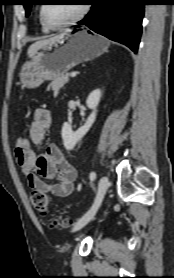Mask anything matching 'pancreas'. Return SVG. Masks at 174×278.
I'll return each instance as SVG.
<instances>
[{
    "mask_svg": "<svg viewBox=\"0 0 174 278\" xmlns=\"http://www.w3.org/2000/svg\"><path fill=\"white\" fill-rule=\"evenodd\" d=\"M69 82V74L64 73L61 76L54 79L48 86V90L52 89L54 92H58L63 86Z\"/></svg>",
    "mask_w": 174,
    "mask_h": 278,
    "instance_id": "1",
    "label": "pancreas"
}]
</instances>
